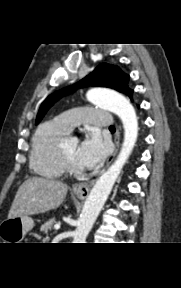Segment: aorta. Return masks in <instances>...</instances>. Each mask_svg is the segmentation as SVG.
<instances>
[{
    "instance_id": "obj_1",
    "label": "aorta",
    "mask_w": 181,
    "mask_h": 288,
    "mask_svg": "<svg viewBox=\"0 0 181 288\" xmlns=\"http://www.w3.org/2000/svg\"><path fill=\"white\" fill-rule=\"evenodd\" d=\"M87 99L91 103L115 113L121 119L124 141L114 163L100 176L91 189L84 203L73 243H85L138 137V119L135 109L123 95L102 89H91L87 93Z\"/></svg>"
}]
</instances>
